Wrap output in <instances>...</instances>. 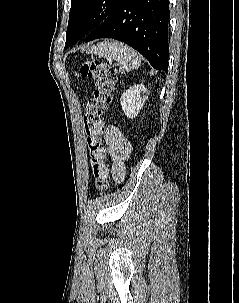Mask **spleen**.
I'll return each mask as SVG.
<instances>
[{
	"mask_svg": "<svg viewBox=\"0 0 239 303\" xmlns=\"http://www.w3.org/2000/svg\"><path fill=\"white\" fill-rule=\"evenodd\" d=\"M90 53L112 59L121 69L128 72L138 69L142 61V57L137 51L118 41L98 43L91 48Z\"/></svg>",
	"mask_w": 239,
	"mask_h": 303,
	"instance_id": "obj_1",
	"label": "spleen"
}]
</instances>
